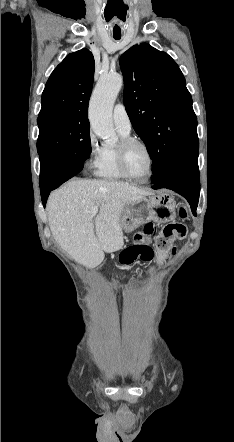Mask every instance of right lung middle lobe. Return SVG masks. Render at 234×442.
Returning <instances> with one entry per match:
<instances>
[{"label":"right lung middle lobe","instance_id":"dd1d6c3e","mask_svg":"<svg viewBox=\"0 0 234 442\" xmlns=\"http://www.w3.org/2000/svg\"><path fill=\"white\" fill-rule=\"evenodd\" d=\"M39 156L47 152L70 151L85 161L91 154L88 118L85 115L54 114L38 117Z\"/></svg>","mask_w":234,"mask_h":442}]
</instances>
